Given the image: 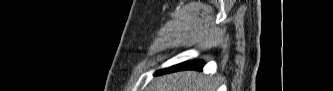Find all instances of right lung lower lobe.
Here are the masks:
<instances>
[{"label": "right lung lower lobe", "instance_id": "98d812e1", "mask_svg": "<svg viewBox=\"0 0 333 91\" xmlns=\"http://www.w3.org/2000/svg\"><path fill=\"white\" fill-rule=\"evenodd\" d=\"M202 67H203L202 61L184 62V63L174 65L172 67H169L167 69L160 70L156 74H164V73L175 72V71H180V70H201Z\"/></svg>", "mask_w": 333, "mask_h": 91}]
</instances>
